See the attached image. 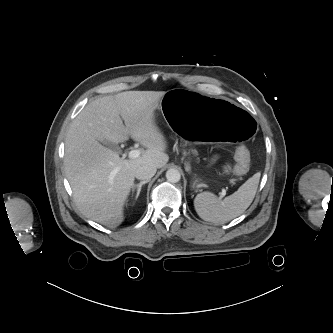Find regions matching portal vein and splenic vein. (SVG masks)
<instances>
[{"label": "portal vein and splenic vein", "instance_id": "obj_1", "mask_svg": "<svg viewBox=\"0 0 333 333\" xmlns=\"http://www.w3.org/2000/svg\"><path fill=\"white\" fill-rule=\"evenodd\" d=\"M140 150L138 149H135V150H132L128 153V156L129 158H132V159H135V158H138L140 156ZM226 195V191L223 190L220 194V199H222L224 196Z\"/></svg>", "mask_w": 333, "mask_h": 333}]
</instances>
